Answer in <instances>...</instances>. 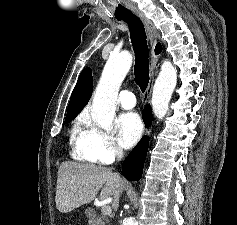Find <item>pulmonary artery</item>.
<instances>
[{
	"label": "pulmonary artery",
	"mask_w": 237,
	"mask_h": 225,
	"mask_svg": "<svg viewBox=\"0 0 237 225\" xmlns=\"http://www.w3.org/2000/svg\"><path fill=\"white\" fill-rule=\"evenodd\" d=\"M118 104L124 109H131L136 104L135 96L130 91H121L117 98Z\"/></svg>",
	"instance_id": "e3ab8cb5"
}]
</instances>
